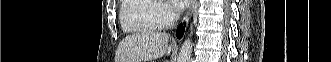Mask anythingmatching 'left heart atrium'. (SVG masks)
Listing matches in <instances>:
<instances>
[{"label":"left heart atrium","instance_id":"obj_1","mask_svg":"<svg viewBox=\"0 0 331 62\" xmlns=\"http://www.w3.org/2000/svg\"><path fill=\"white\" fill-rule=\"evenodd\" d=\"M170 3L177 10H182L188 6L190 0H170Z\"/></svg>","mask_w":331,"mask_h":62}]
</instances>
